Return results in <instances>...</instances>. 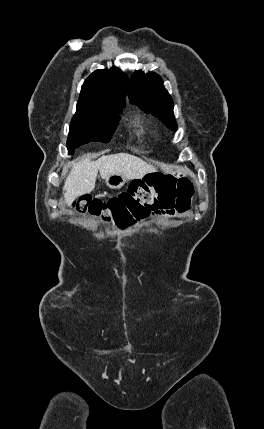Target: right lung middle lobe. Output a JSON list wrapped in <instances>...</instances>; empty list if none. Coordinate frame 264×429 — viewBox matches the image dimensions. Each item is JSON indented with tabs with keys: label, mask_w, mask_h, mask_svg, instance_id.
I'll return each mask as SVG.
<instances>
[{
	"label": "right lung middle lobe",
	"mask_w": 264,
	"mask_h": 429,
	"mask_svg": "<svg viewBox=\"0 0 264 429\" xmlns=\"http://www.w3.org/2000/svg\"><path fill=\"white\" fill-rule=\"evenodd\" d=\"M123 104L77 103L67 140L69 153L91 141L108 142L116 129Z\"/></svg>",
	"instance_id": "dd1d6c3e"
}]
</instances>
